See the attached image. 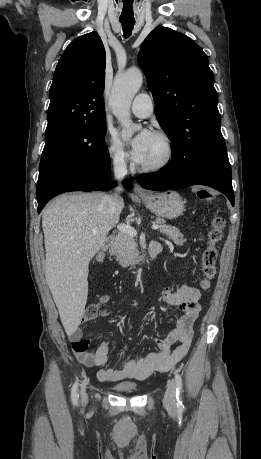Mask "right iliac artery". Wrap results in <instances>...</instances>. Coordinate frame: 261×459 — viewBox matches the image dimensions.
I'll return each instance as SVG.
<instances>
[{
    "label": "right iliac artery",
    "instance_id": "1",
    "mask_svg": "<svg viewBox=\"0 0 261 459\" xmlns=\"http://www.w3.org/2000/svg\"><path fill=\"white\" fill-rule=\"evenodd\" d=\"M71 397H72L73 404L76 405L77 402H78V398H79V395H78V383L77 382L72 387Z\"/></svg>",
    "mask_w": 261,
    "mask_h": 459
}]
</instances>
